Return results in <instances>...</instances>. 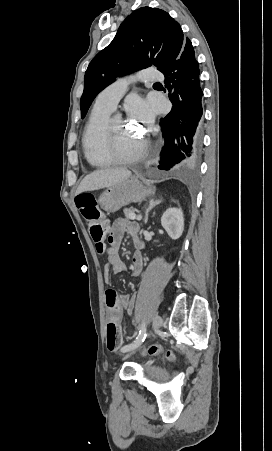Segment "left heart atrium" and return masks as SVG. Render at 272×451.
Segmentation results:
<instances>
[{
    "instance_id": "obj_1",
    "label": "left heart atrium",
    "mask_w": 272,
    "mask_h": 451,
    "mask_svg": "<svg viewBox=\"0 0 272 451\" xmlns=\"http://www.w3.org/2000/svg\"><path fill=\"white\" fill-rule=\"evenodd\" d=\"M128 113L134 123L150 127L153 122V107L144 100L137 99L127 105Z\"/></svg>"
}]
</instances>
